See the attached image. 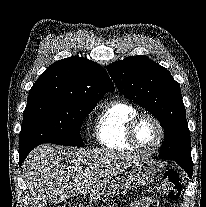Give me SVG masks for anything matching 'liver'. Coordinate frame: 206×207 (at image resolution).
Wrapping results in <instances>:
<instances>
[{"label": "liver", "mask_w": 206, "mask_h": 207, "mask_svg": "<svg viewBox=\"0 0 206 207\" xmlns=\"http://www.w3.org/2000/svg\"><path fill=\"white\" fill-rule=\"evenodd\" d=\"M139 158L112 150H85L53 144L33 149L23 163L31 207H44L90 194L102 200L106 185Z\"/></svg>", "instance_id": "liver-1"}]
</instances>
